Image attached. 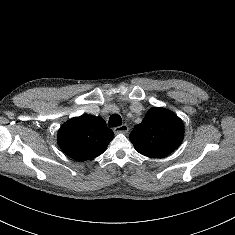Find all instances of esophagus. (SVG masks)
I'll list each match as a JSON object with an SVG mask.
<instances>
[{
    "mask_svg": "<svg viewBox=\"0 0 235 235\" xmlns=\"http://www.w3.org/2000/svg\"><path fill=\"white\" fill-rule=\"evenodd\" d=\"M113 131L115 134L119 133L126 134L129 131V127L127 124H123L121 126L115 127Z\"/></svg>",
    "mask_w": 235,
    "mask_h": 235,
    "instance_id": "1",
    "label": "esophagus"
}]
</instances>
